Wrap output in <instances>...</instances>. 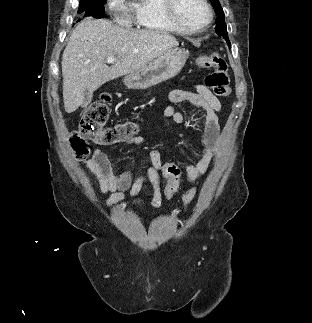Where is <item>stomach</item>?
<instances>
[{
    "label": "stomach",
    "instance_id": "obj_1",
    "mask_svg": "<svg viewBox=\"0 0 312 323\" xmlns=\"http://www.w3.org/2000/svg\"><path fill=\"white\" fill-rule=\"evenodd\" d=\"M189 58L188 50L185 48H168L157 60L140 68L136 72L126 74L124 84L130 90H146L155 84L165 82L169 78H175L186 64Z\"/></svg>",
    "mask_w": 312,
    "mask_h": 323
}]
</instances>
